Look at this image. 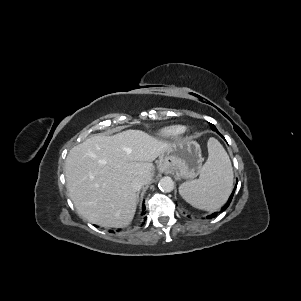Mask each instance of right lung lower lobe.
<instances>
[{
	"label": "right lung lower lobe",
	"mask_w": 301,
	"mask_h": 301,
	"mask_svg": "<svg viewBox=\"0 0 301 301\" xmlns=\"http://www.w3.org/2000/svg\"><path fill=\"white\" fill-rule=\"evenodd\" d=\"M143 210H145V206L143 205ZM111 232H113L112 230H111Z\"/></svg>",
	"instance_id": "right-lung-lower-lobe-1"
}]
</instances>
